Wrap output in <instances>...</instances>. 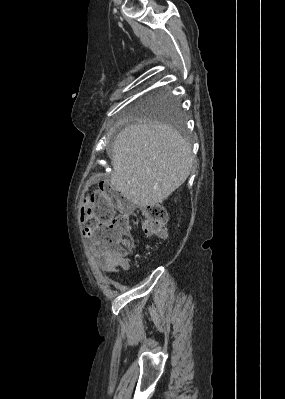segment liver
<instances>
[{"label":"liver","instance_id":"liver-1","mask_svg":"<svg viewBox=\"0 0 285 399\" xmlns=\"http://www.w3.org/2000/svg\"><path fill=\"white\" fill-rule=\"evenodd\" d=\"M190 144L169 125L149 121L122 129L111 152L110 182L131 203L146 208L162 203L188 178Z\"/></svg>","mask_w":285,"mask_h":399}]
</instances>
